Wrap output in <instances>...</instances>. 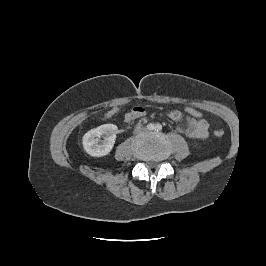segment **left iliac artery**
<instances>
[{
  "label": "left iliac artery",
  "mask_w": 266,
  "mask_h": 266,
  "mask_svg": "<svg viewBox=\"0 0 266 266\" xmlns=\"http://www.w3.org/2000/svg\"><path fill=\"white\" fill-rule=\"evenodd\" d=\"M155 130L156 131H161L162 130V125L161 124H156Z\"/></svg>",
  "instance_id": "left-iliac-artery-1"
}]
</instances>
